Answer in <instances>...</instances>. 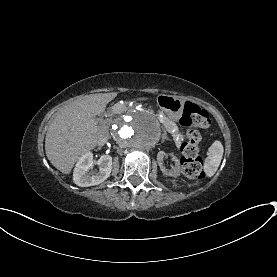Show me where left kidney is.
Here are the masks:
<instances>
[{
	"instance_id": "left-kidney-1",
	"label": "left kidney",
	"mask_w": 277,
	"mask_h": 277,
	"mask_svg": "<svg viewBox=\"0 0 277 277\" xmlns=\"http://www.w3.org/2000/svg\"><path fill=\"white\" fill-rule=\"evenodd\" d=\"M169 155L173 158V160L176 162V166L177 169L175 170H167L163 167V162H164V158ZM157 163L161 169V171L166 175V176H170V177H178L180 175V162L179 160L175 157V155L173 153H166L164 151H160L157 154Z\"/></svg>"
}]
</instances>
